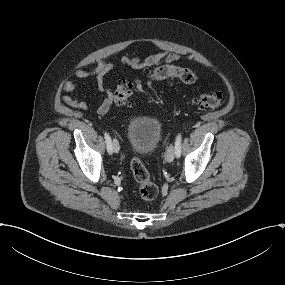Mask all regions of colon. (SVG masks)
Here are the masks:
<instances>
[{
  "label": "colon",
  "mask_w": 285,
  "mask_h": 285,
  "mask_svg": "<svg viewBox=\"0 0 285 285\" xmlns=\"http://www.w3.org/2000/svg\"><path fill=\"white\" fill-rule=\"evenodd\" d=\"M148 82L175 80L187 85L196 83L194 73L186 68L167 64L150 68L146 72ZM141 87L140 81L121 80L117 83L114 92V103L118 106L131 104L135 90ZM193 103L202 110H212L220 107L223 103V96L220 92L200 93L193 98ZM131 171L138 184V192L143 200H153L158 195V188L151 180L147 168L138 157L131 160Z\"/></svg>",
  "instance_id": "obj_1"
}]
</instances>
